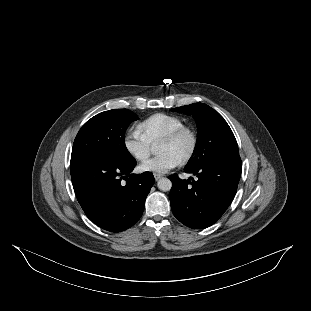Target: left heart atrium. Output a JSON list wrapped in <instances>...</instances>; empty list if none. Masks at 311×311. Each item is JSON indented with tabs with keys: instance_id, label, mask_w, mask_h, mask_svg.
Here are the masks:
<instances>
[{
	"instance_id": "left-heart-atrium-1",
	"label": "left heart atrium",
	"mask_w": 311,
	"mask_h": 311,
	"mask_svg": "<svg viewBox=\"0 0 311 311\" xmlns=\"http://www.w3.org/2000/svg\"><path fill=\"white\" fill-rule=\"evenodd\" d=\"M181 163L180 158L171 152L162 153L139 166L140 171L163 175L170 170L178 167Z\"/></svg>"
}]
</instances>
